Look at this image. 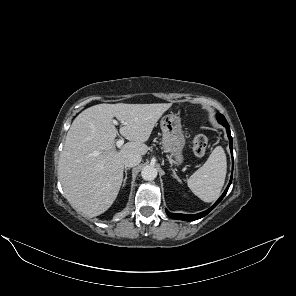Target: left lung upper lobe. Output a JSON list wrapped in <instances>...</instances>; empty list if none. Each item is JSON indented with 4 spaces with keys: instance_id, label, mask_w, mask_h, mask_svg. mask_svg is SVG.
Here are the masks:
<instances>
[{
    "instance_id": "left-lung-upper-lobe-1",
    "label": "left lung upper lobe",
    "mask_w": 296,
    "mask_h": 296,
    "mask_svg": "<svg viewBox=\"0 0 296 296\" xmlns=\"http://www.w3.org/2000/svg\"><path fill=\"white\" fill-rule=\"evenodd\" d=\"M217 120L218 121H226L225 117L221 114H217Z\"/></svg>"
}]
</instances>
